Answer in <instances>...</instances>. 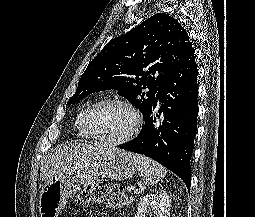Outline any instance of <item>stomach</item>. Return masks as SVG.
Masks as SVG:
<instances>
[{"label":"stomach","instance_id":"obj_1","mask_svg":"<svg viewBox=\"0 0 255 217\" xmlns=\"http://www.w3.org/2000/svg\"><path fill=\"white\" fill-rule=\"evenodd\" d=\"M135 169L128 152L105 148L99 155L47 181L39 196L40 217H59L68 199L98 178L126 180L133 176Z\"/></svg>","mask_w":255,"mask_h":217}]
</instances>
